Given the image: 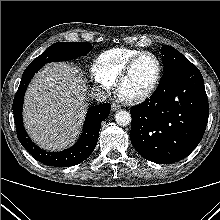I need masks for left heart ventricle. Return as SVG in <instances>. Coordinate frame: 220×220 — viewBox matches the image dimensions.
I'll return each instance as SVG.
<instances>
[{
	"label": "left heart ventricle",
	"instance_id": "b2bd125f",
	"mask_svg": "<svg viewBox=\"0 0 220 220\" xmlns=\"http://www.w3.org/2000/svg\"><path fill=\"white\" fill-rule=\"evenodd\" d=\"M157 73V63L151 56L141 57L120 87L124 97H135L149 89Z\"/></svg>",
	"mask_w": 220,
	"mask_h": 220
}]
</instances>
